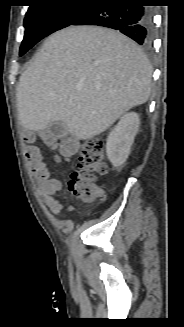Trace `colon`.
<instances>
[{"label": "colon", "instance_id": "1", "mask_svg": "<svg viewBox=\"0 0 184 327\" xmlns=\"http://www.w3.org/2000/svg\"><path fill=\"white\" fill-rule=\"evenodd\" d=\"M78 169L73 172L69 188L83 202L91 203L103 196L97 178L106 173L103 160V144L99 139L87 140L78 157Z\"/></svg>", "mask_w": 184, "mask_h": 327}]
</instances>
